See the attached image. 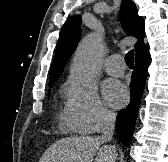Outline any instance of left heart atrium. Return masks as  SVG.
<instances>
[{"label":"left heart atrium","mask_w":168,"mask_h":162,"mask_svg":"<svg viewBox=\"0 0 168 162\" xmlns=\"http://www.w3.org/2000/svg\"><path fill=\"white\" fill-rule=\"evenodd\" d=\"M103 91L107 102L114 108L122 107L128 99L126 87L117 81H107Z\"/></svg>","instance_id":"left-heart-atrium-1"}]
</instances>
